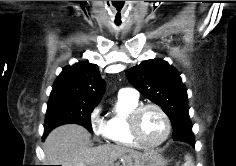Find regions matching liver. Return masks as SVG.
<instances>
[{"label":"liver","instance_id":"liver-1","mask_svg":"<svg viewBox=\"0 0 236 166\" xmlns=\"http://www.w3.org/2000/svg\"><path fill=\"white\" fill-rule=\"evenodd\" d=\"M43 150L46 163L62 166H114L117 159H121L124 165L139 164L144 156L122 145L92 147L89 132L77 124L52 130L45 139Z\"/></svg>","mask_w":236,"mask_h":166}]
</instances>
